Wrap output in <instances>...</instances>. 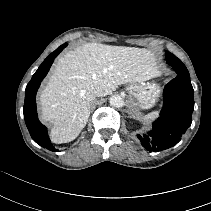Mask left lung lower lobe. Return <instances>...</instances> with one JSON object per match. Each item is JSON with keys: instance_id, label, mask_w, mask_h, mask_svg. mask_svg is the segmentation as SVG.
<instances>
[{"instance_id": "1", "label": "left lung lower lobe", "mask_w": 211, "mask_h": 211, "mask_svg": "<svg viewBox=\"0 0 211 211\" xmlns=\"http://www.w3.org/2000/svg\"><path fill=\"white\" fill-rule=\"evenodd\" d=\"M177 76L164 89V105L160 117L148 134L137 135L142 146L152 152L173 147L192 122L194 109L193 87L186 71H176Z\"/></svg>"}]
</instances>
